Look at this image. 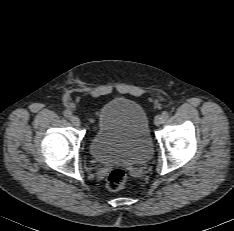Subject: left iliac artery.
<instances>
[{
    "instance_id": "left-iliac-artery-1",
    "label": "left iliac artery",
    "mask_w": 234,
    "mask_h": 231,
    "mask_svg": "<svg viewBox=\"0 0 234 231\" xmlns=\"http://www.w3.org/2000/svg\"><path fill=\"white\" fill-rule=\"evenodd\" d=\"M168 117H169V113H168L167 111H163V112H162V119H163L162 123H163L166 119H168Z\"/></svg>"
}]
</instances>
